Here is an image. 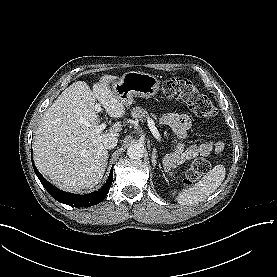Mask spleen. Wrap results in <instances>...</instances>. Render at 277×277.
Listing matches in <instances>:
<instances>
[{
  "instance_id": "obj_1",
  "label": "spleen",
  "mask_w": 277,
  "mask_h": 277,
  "mask_svg": "<svg viewBox=\"0 0 277 277\" xmlns=\"http://www.w3.org/2000/svg\"><path fill=\"white\" fill-rule=\"evenodd\" d=\"M226 169L216 165L200 181L189 188L183 189L176 198L181 205H193L204 201L221 185L225 179Z\"/></svg>"
}]
</instances>
